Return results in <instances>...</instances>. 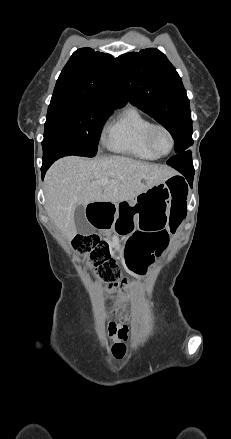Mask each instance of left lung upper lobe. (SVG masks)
Returning <instances> with one entry per match:
<instances>
[{
  "label": "left lung upper lobe",
  "mask_w": 231,
  "mask_h": 439,
  "mask_svg": "<svg viewBox=\"0 0 231 439\" xmlns=\"http://www.w3.org/2000/svg\"><path fill=\"white\" fill-rule=\"evenodd\" d=\"M116 65L130 102L171 133L177 154L186 151L193 144L191 111L175 67L155 48L123 54Z\"/></svg>",
  "instance_id": "1"
}]
</instances>
